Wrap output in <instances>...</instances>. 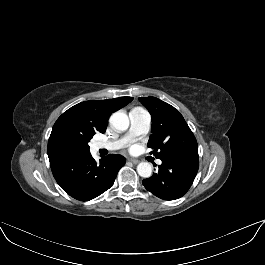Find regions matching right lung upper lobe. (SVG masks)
Listing matches in <instances>:
<instances>
[{
    "label": "right lung upper lobe",
    "instance_id": "obj_1",
    "mask_svg": "<svg viewBox=\"0 0 265 265\" xmlns=\"http://www.w3.org/2000/svg\"><path fill=\"white\" fill-rule=\"evenodd\" d=\"M132 100V97L89 100L65 111L55 122L49 137L47 152L50 165L77 156L65 145L64 138L68 134L105 133L111 113L123 108Z\"/></svg>",
    "mask_w": 265,
    "mask_h": 265
}]
</instances>
